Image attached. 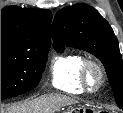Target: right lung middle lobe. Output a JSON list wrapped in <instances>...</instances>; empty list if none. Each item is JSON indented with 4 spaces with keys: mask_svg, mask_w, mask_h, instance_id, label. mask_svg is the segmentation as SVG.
<instances>
[{
    "mask_svg": "<svg viewBox=\"0 0 123 113\" xmlns=\"http://www.w3.org/2000/svg\"><path fill=\"white\" fill-rule=\"evenodd\" d=\"M50 44L41 41L1 43V100L31 91L44 71Z\"/></svg>",
    "mask_w": 123,
    "mask_h": 113,
    "instance_id": "1",
    "label": "right lung middle lobe"
}]
</instances>
